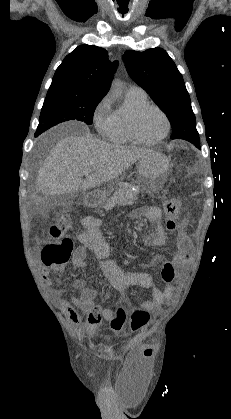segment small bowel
I'll return each mask as SVG.
<instances>
[{
	"label": "small bowel",
	"instance_id": "1",
	"mask_svg": "<svg viewBox=\"0 0 231 419\" xmlns=\"http://www.w3.org/2000/svg\"><path fill=\"white\" fill-rule=\"evenodd\" d=\"M135 217L147 220L154 227L152 233L144 235V244L149 247L162 246L165 242V234L161 224V210L157 207H150L143 211H137ZM81 225L83 231L78 235L80 245L73 253V266L76 268L85 267L87 251H92L97 258L98 268L114 289L123 296L132 287L151 289V298L140 303L138 309L146 312L148 317L150 315L160 314L163 305L172 299L176 285L172 283L165 289H159L153 286L152 279L147 273L123 270L109 258L111 246L101 232L102 221L97 217L86 216L82 218ZM176 247L177 252L173 258L174 265L178 267L183 266L189 261L193 249L184 224H180L177 229ZM158 259V257L155 258V260ZM42 277L46 284L51 285L53 283L49 268L43 269ZM77 285L80 289V296L78 298H73L71 301L61 299L62 291L56 290L57 301L63 312L75 325H78L81 321L78 311L85 313L87 315L85 330L89 335H94L99 329L102 317L105 320H109L114 311L109 308L102 309L97 320L96 315L93 314V308L96 306L95 298L98 294L97 290L88 286L85 282H79Z\"/></svg>",
	"mask_w": 231,
	"mask_h": 419
}]
</instances>
